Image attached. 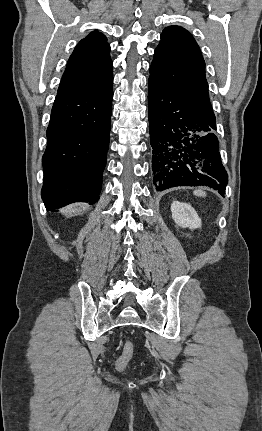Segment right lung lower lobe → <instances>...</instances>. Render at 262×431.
Here are the masks:
<instances>
[{"label":"right lung lower lobe","mask_w":262,"mask_h":431,"mask_svg":"<svg viewBox=\"0 0 262 431\" xmlns=\"http://www.w3.org/2000/svg\"><path fill=\"white\" fill-rule=\"evenodd\" d=\"M112 88L98 95H57L47 129L41 191L47 211L99 199L109 145Z\"/></svg>","instance_id":"obj_1"}]
</instances>
